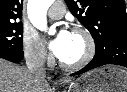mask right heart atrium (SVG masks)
I'll use <instances>...</instances> for the list:
<instances>
[{"mask_svg":"<svg viewBox=\"0 0 127 92\" xmlns=\"http://www.w3.org/2000/svg\"><path fill=\"white\" fill-rule=\"evenodd\" d=\"M23 51L27 62L33 66H43L50 61V56L45 46L35 33H24Z\"/></svg>","mask_w":127,"mask_h":92,"instance_id":"d8ad5b80","label":"right heart atrium"}]
</instances>
